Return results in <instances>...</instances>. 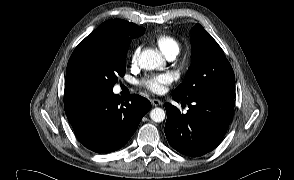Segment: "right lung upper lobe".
<instances>
[{
	"instance_id": "obj_1",
	"label": "right lung upper lobe",
	"mask_w": 294,
	"mask_h": 180,
	"mask_svg": "<svg viewBox=\"0 0 294 180\" xmlns=\"http://www.w3.org/2000/svg\"><path fill=\"white\" fill-rule=\"evenodd\" d=\"M145 28L122 19H110L102 23L83 41L99 40L107 38H119L130 40L143 35Z\"/></svg>"
}]
</instances>
